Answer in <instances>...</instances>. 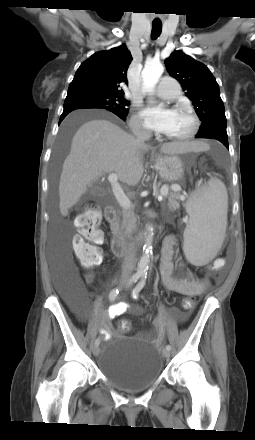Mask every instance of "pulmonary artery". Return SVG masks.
<instances>
[{
	"label": "pulmonary artery",
	"instance_id": "obj_1",
	"mask_svg": "<svg viewBox=\"0 0 255 440\" xmlns=\"http://www.w3.org/2000/svg\"><path fill=\"white\" fill-rule=\"evenodd\" d=\"M156 94L162 99H176L180 94L179 84L174 78L165 76L159 82L156 88Z\"/></svg>",
	"mask_w": 255,
	"mask_h": 440
}]
</instances>
